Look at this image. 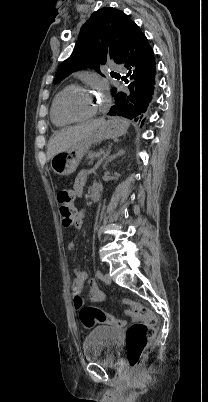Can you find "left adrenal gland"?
I'll return each mask as SVG.
<instances>
[{"mask_svg":"<svg viewBox=\"0 0 208 402\" xmlns=\"http://www.w3.org/2000/svg\"><path fill=\"white\" fill-rule=\"evenodd\" d=\"M124 150H119L118 154H113V156H107L106 158V162L103 166L104 170H107L106 166L108 164V162H112V160H115V158H118V156H121V154H123Z\"/></svg>","mask_w":208,"mask_h":402,"instance_id":"1","label":"left adrenal gland"}]
</instances>
